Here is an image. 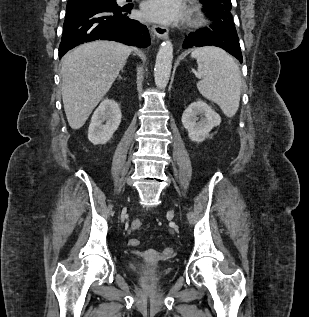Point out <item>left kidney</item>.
Wrapping results in <instances>:
<instances>
[{
  "mask_svg": "<svg viewBox=\"0 0 309 317\" xmlns=\"http://www.w3.org/2000/svg\"><path fill=\"white\" fill-rule=\"evenodd\" d=\"M199 115L204 116V119L198 121ZM220 123L219 114L202 100L191 103L182 115V124L193 142L204 141L209 136V132Z\"/></svg>",
  "mask_w": 309,
  "mask_h": 317,
  "instance_id": "left-kidney-1",
  "label": "left kidney"
}]
</instances>
